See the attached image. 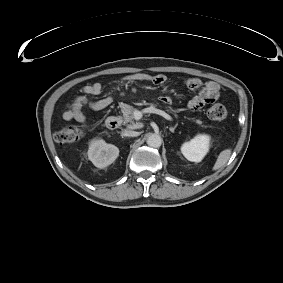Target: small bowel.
Instances as JSON below:
<instances>
[{
	"label": "small bowel",
	"instance_id": "c3829d8e",
	"mask_svg": "<svg viewBox=\"0 0 283 283\" xmlns=\"http://www.w3.org/2000/svg\"><path fill=\"white\" fill-rule=\"evenodd\" d=\"M124 81L126 83L152 82L155 85H162L165 82V78L162 76L155 77L144 72H137L126 76ZM187 85L191 89L197 91L188 103V108L190 110H199L207 103L213 102L219 97V85L214 81H208L202 84L199 79L193 78L187 81ZM101 90L102 86L98 82L84 85L81 88V95L77 96L63 113L64 120L83 122L86 119L85 114L82 111L84 107L99 111L110 106L113 102V98L109 96L98 100L88 99V96H96L100 94ZM162 101L166 104H170L171 98L169 96H164L162 97Z\"/></svg>",
	"mask_w": 283,
	"mask_h": 283
}]
</instances>
